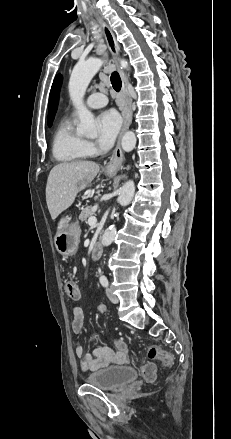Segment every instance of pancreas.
<instances>
[{
    "mask_svg": "<svg viewBox=\"0 0 231 439\" xmlns=\"http://www.w3.org/2000/svg\"><path fill=\"white\" fill-rule=\"evenodd\" d=\"M94 215V210L92 206H87L82 209L81 214L79 215V219L81 222H87V219Z\"/></svg>",
    "mask_w": 231,
    "mask_h": 439,
    "instance_id": "pancreas-1",
    "label": "pancreas"
}]
</instances>
